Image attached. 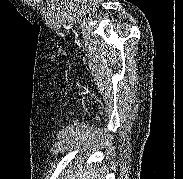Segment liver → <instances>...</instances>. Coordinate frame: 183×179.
<instances>
[{"label":"liver","instance_id":"liver-1","mask_svg":"<svg viewBox=\"0 0 183 179\" xmlns=\"http://www.w3.org/2000/svg\"><path fill=\"white\" fill-rule=\"evenodd\" d=\"M62 179H102L99 169L95 168V165L79 168L75 173H68Z\"/></svg>","mask_w":183,"mask_h":179}]
</instances>
